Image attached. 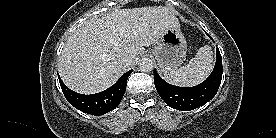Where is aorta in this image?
Returning <instances> with one entry per match:
<instances>
[{"instance_id":"762f6f07","label":"aorta","mask_w":276,"mask_h":138,"mask_svg":"<svg viewBox=\"0 0 276 138\" xmlns=\"http://www.w3.org/2000/svg\"><path fill=\"white\" fill-rule=\"evenodd\" d=\"M139 69L142 72H149L153 69V61L149 58H143L139 61Z\"/></svg>"}]
</instances>
